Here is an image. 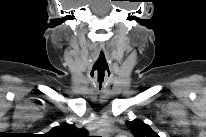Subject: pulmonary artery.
<instances>
[{
	"label": "pulmonary artery",
	"instance_id": "obj_1",
	"mask_svg": "<svg viewBox=\"0 0 206 137\" xmlns=\"http://www.w3.org/2000/svg\"><path fill=\"white\" fill-rule=\"evenodd\" d=\"M117 137H125V136L120 134V135H118Z\"/></svg>",
	"mask_w": 206,
	"mask_h": 137
}]
</instances>
